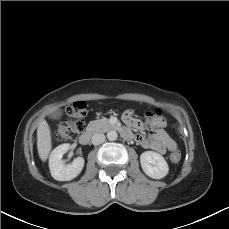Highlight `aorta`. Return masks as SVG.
I'll use <instances>...</instances> for the list:
<instances>
[{
    "label": "aorta",
    "mask_w": 229,
    "mask_h": 229,
    "mask_svg": "<svg viewBox=\"0 0 229 229\" xmlns=\"http://www.w3.org/2000/svg\"><path fill=\"white\" fill-rule=\"evenodd\" d=\"M117 137H118V133L116 131H114V130L108 131V133H107L108 140L114 141L117 139Z\"/></svg>",
    "instance_id": "obj_1"
}]
</instances>
